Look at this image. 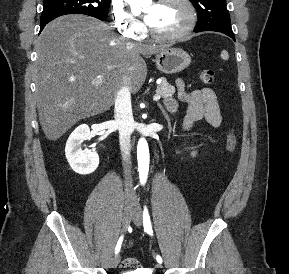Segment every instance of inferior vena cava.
<instances>
[{
  "label": "inferior vena cava",
  "instance_id": "inferior-vena-cava-1",
  "mask_svg": "<svg viewBox=\"0 0 289 274\" xmlns=\"http://www.w3.org/2000/svg\"><path fill=\"white\" fill-rule=\"evenodd\" d=\"M114 113L119 130V142L125 178V193L128 195L133 193L130 136L134 128V120L132 115L131 94L129 87L126 85L122 86L117 93Z\"/></svg>",
  "mask_w": 289,
  "mask_h": 274
}]
</instances>
